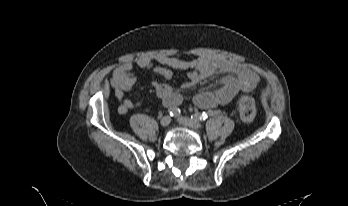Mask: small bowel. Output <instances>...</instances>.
<instances>
[{
    "instance_id": "obj_1",
    "label": "small bowel",
    "mask_w": 348,
    "mask_h": 206,
    "mask_svg": "<svg viewBox=\"0 0 348 206\" xmlns=\"http://www.w3.org/2000/svg\"><path fill=\"white\" fill-rule=\"evenodd\" d=\"M156 61L158 65L154 66L150 58L141 57L137 60V65L142 69H152L166 80L171 79L173 69L187 70L188 80L182 85L184 90L193 89L199 82L218 72L229 73L221 79L217 90L199 92L194 96V103L203 109L226 105L232 101L237 92L250 91L259 82L258 75L246 65L220 56L202 55L189 61L162 55ZM136 80L137 77L130 62L122 63L112 73L110 82L115 97L120 102L118 109L120 114H126L129 110L143 105L140 101H131L124 96ZM153 88L165 107H177L182 103L181 94L170 85L155 81Z\"/></svg>"
}]
</instances>
